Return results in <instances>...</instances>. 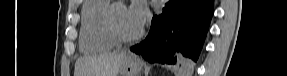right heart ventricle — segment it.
I'll return each instance as SVG.
<instances>
[{"instance_id": "obj_1", "label": "right heart ventricle", "mask_w": 287, "mask_h": 76, "mask_svg": "<svg viewBox=\"0 0 287 76\" xmlns=\"http://www.w3.org/2000/svg\"><path fill=\"white\" fill-rule=\"evenodd\" d=\"M110 0H86L81 8L80 48L83 52H103L113 48L115 40L105 28Z\"/></svg>"}]
</instances>
